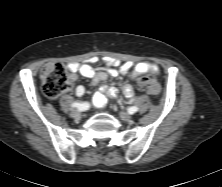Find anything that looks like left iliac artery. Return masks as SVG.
Instances as JSON below:
<instances>
[{
	"label": "left iliac artery",
	"instance_id": "left-iliac-artery-1",
	"mask_svg": "<svg viewBox=\"0 0 222 187\" xmlns=\"http://www.w3.org/2000/svg\"><path fill=\"white\" fill-rule=\"evenodd\" d=\"M137 111H138V107H136V106H132V107L128 108V113H130V114H134Z\"/></svg>",
	"mask_w": 222,
	"mask_h": 187
}]
</instances>
